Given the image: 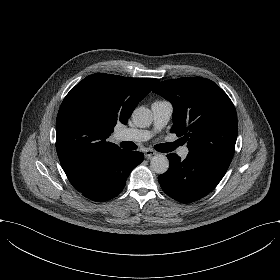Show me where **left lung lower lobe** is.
<instances>
[{
  "instance_id": "1",
  "label": "left lung lower lobe",
  "mask_w": 280,
  "mask_h": 280,
  "mask_svg": "<svg viewBox=\"0 0 280 280\" xmlns=\"http://www.w3.org/2000/svg\"><path fill=\"white\" fill-rule=\"evenodd\" d=\"M170 166L158 177L163 191L182 203L197 201L209 194L225 175L230 162L211 156L189 153L185 160L167 155Z\"/></svg>"
}]
</instances>
